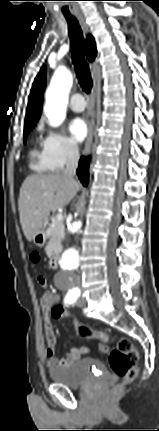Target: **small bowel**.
<instances>
[{
	"label": "small bowel",
	"mask_w": 159,
	"mask_h": 431,
	"mask_svg": "<svg viewBox=\"0 0 159 431\" xmlns=\"http://www.w3.org/2000/svg\"><path fill=\"white\" fill-rule=\"evenodd\" d=\"M40 285L45 288V291L42 293L40 297V305L43 312V318L45 322V333L47 339V349L46 356L48 358V367L50 369L66 367L75 361H77L83 354L88 352L87 347H73L62 359H58L56 357V346H57V336L52 327L51 315L53 312V307L50 309L48 307L47 298L49 297V285L48 281L45 277H39ZM56 301H59V297L55 296ZM68 312V311H67Z\"/></svg>",
	"instance_id": "small-bowel-1"
}]
</instances>
